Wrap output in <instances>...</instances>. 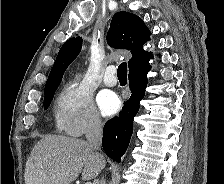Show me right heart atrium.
<instances>
[{
	"instance_id": "right-heart-atrium-1",
	"label": "right heart atrium",
	"mask_w": 224,
	"mask_h": 184,
	"mask_svg": "<svg viewBox=\"0 0 224 184\" xmlns=\"http://www.w3.org/2000/svg\"><path fill=\"white\" fill-rule=\"evenodd\" d=\"M57 127L71 136L98 131L102 122L91 92L80 81L66 84L56 103Z\"/></svg>"
}]
</instances>
